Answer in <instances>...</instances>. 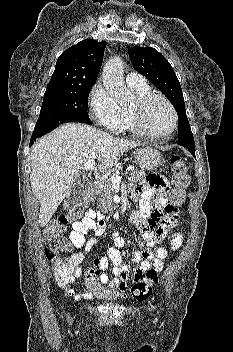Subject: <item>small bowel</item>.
I'll return each mask as SVG.
<instances>
[{
  "label": "small bowel",
  "instance_id": "c3829d8e",
  "mask_svg": "<svg viewBox=\"0 0 233 352\" xmlns=\"http://www.w3.org/2000/svg\"><path fill=\"white\" fill-rule=\"evenodd\" d=\"M169 185L160 175L151 174L142 183L134 186L130 190L133 200H138L141 212L132 214V220L140 230L142 238L151 250H137L133 254L134 261L139 265L130 268L122 261L121 248L125 246V239L118 232L112 234L114 247L110 248L105 257L99 259L97 268L101 271L104 282L110 286L125 290L129 282H140L145 278L146 273L152 268L161 270L163 260L167 257L168 251L164 247H159L160 243L166 239L171 240V249L176 250L181 246L182 237L178 233H170V230L177 224L179 213L176 207H171L167 199ZM106 224L100 212L89 209L81 221L72 224L69 233V240L75 248H84L90 251L96 244L97 240L91 238L86 240L89 231L100 236L105 233ZM84 255L81 252H75L70 256L69 262L73 269L72 275L58 285L65 292L76 300H89L93 296L86 288L80 290L73 285L75 279L81 275V263ZM113 265L114 278H110L104 271L108 269L109 264Z\"/></svg>",
  "mask_w": 233,
  "mask_h": 352
}]
</instances>
